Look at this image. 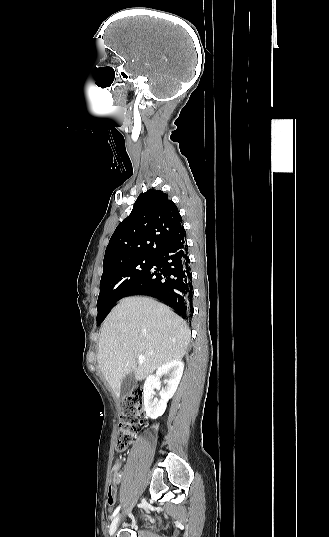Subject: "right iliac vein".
I'll list each match as a JSON object with an SVG mask.
<instances>
[{
    "label": "right iliac vein",
    "mask_w": 329,
    "mask_h": 537,
    "mask_svg": "<svg viewBox=\"0 0 329 537\" xmlns=\"http://www.w3.org/2000/svg\"><path fill=\"white\" fill-rule=\"evenodd\" d=\"M130 510H131V507L129 509H127L126 512H129ZM120 518H121V516L118 515L117 517L114 518V520L110 524V526H109V535L110 536H112L115 533V531H116V529L118 527V524L120 522Z\"/></svg>",
    "instance_id": "right-iliac-vein-1"
}]
</instances>
